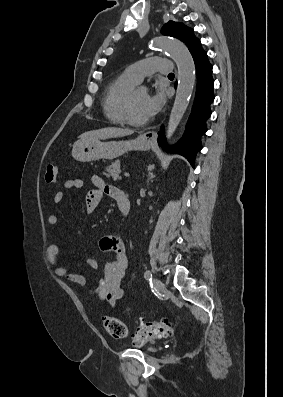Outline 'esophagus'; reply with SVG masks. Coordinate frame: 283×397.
Instances as JSON below:
<instances>
[{"label":"esophagus","instance_id":"obj_1","mask_svg":"<svg viewBox=\"0 0 283 397\" xmlns=\"http://www.w3.org/2000/svg\"><path fill=\"white\" fill-rule=\"evenodd\" d=\"M143 138L149 142H154L157 139V133L154 131H147L143 134Z\"/></svg>","mask_w":283,"mask_h":397}]
</instances>
